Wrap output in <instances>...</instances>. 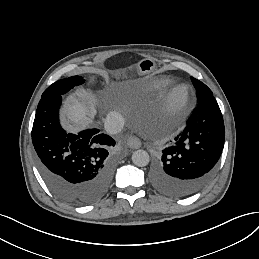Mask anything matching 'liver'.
<instances>
[{
	"mask_svg": "<svg viewBox=\"0 0 259 259\" xmlns=\"http://www.w3.org/2000/svg\"><path fill=\"white\" fill-rule=\"evenodd\" d=\"M85 96L78 100L74 97L64 103L62 108V124L69 132H78L85 129L93 122L95 116V108L89 101V106L86 105Z\"/></svg>",
	"mask_w": 259,
	"mask_h": 259,
	"instance_id": "obj_1",
	"label": "liver"
}]
</instances>
